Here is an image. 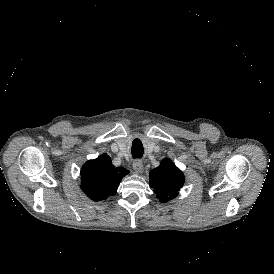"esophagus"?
Returning a JSON list of instances; mask_svg holds the SVG:
<instances>
[{
  "label": "esophagus",
  "mask_w": 274,
  "mask_h": 274,
  "mask_svg": "<svg viewBox=\"0 0 274 274\" xmlns=\"http://www.w3.org/2000/svg\"><path fill=\"white\" fill-rule=\"evenodd\" d=\"M132 167L136 173H141L143 171V163L140 160H135L132 164Z\"/></svg>",
  "instance_id": "34e87169"
}]
</instances>
